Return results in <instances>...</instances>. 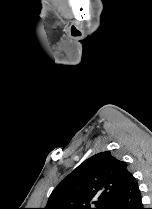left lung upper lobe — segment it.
Segmentation results:
<instances>
[{
  "instance_id": "obj_1",
  "label": "left lung upper lobe",
  "mask_w": 152,
  "mask_h": 209,
  "mask_svg": "<svg viewBox=\"0 0 152 209\" xmlns=\"http://www.w3.org/2000/svg\"><path fill=\"white\" fill-rule=\"evenodd\" d=\"M131 174L126 162L110 151L100 152L81 163L59 183L45 209H109L124 191Z\"/></svg>"
}]
</instances>
